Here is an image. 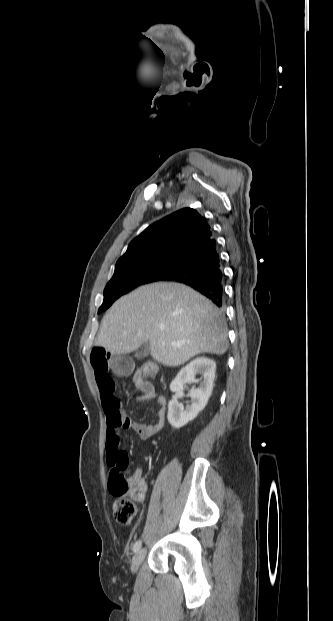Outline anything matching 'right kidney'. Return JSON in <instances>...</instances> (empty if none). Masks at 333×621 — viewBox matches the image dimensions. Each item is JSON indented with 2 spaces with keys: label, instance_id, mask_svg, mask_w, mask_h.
I'll return each mask as SVG.
<instances>
[{
  "label": "right kidney",
  "instance_id": "obj_1",
  "mask_svg": "<svg viewBox=\"0 0 333 621\" xmlns=\"http://www.w3.org/2000/svg\"><path fill=\"white\" fill-rule=\"evenodd\" d=\"M216 364L207 357H198L180 370L170 385L172 392H181L185 383L198 382L195 376L200 374L202 381L199 387L193 386L189 392L192 404L184 408L178 400L172 399L168 404V422L179 429L197 417L207 405L212 393Z\"/></svg>",
  "mask_w": 333,
  "mask_h": 621
}]
</instances>
